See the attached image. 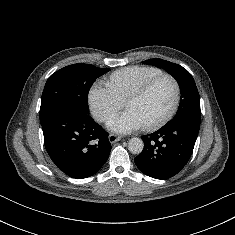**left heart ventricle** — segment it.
Listing matches in <instances>:
<instances>
[{"instance_id":"b2bd125f","label":"left heart ventricle","mask_w":235,"mask_h":235,"mask_svg":"<svg viewBox=\"0 0 235 235\" xmlns=\"http://www.w3.org/2000/svg\"><path fill=\"white\" fill-rule=\"evenodd\" d=\"M174 100V87L169 80L159 81L144 97L131 101L127 108L134 111L143 125L167 113Z\"/></svg>"}]
</instances>
